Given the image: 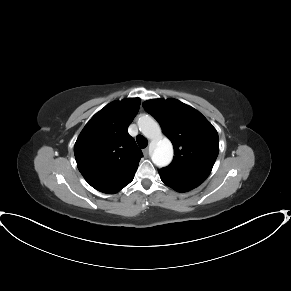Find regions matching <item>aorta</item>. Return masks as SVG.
I'll return each instance as SVG.
<instances>
[{
	"instance_id": "obj_1",
	"label": "aorta",
	"mask_w": 291,
	"mask_h": 291,
	"mask_svg": "<svg viewBox=\"0 0 291 291\" xmlns=\"http://www.w3.org/2000/svg\"><path fill=\"white\" fill-rule=\"evenodd\" d=\"M137 124L140 132L155 144L153 163L160 168L169 165L173 158V146L168 138L162 136L159 124L149 115L141 116Z\"/></svg>"
}]
</instances>
